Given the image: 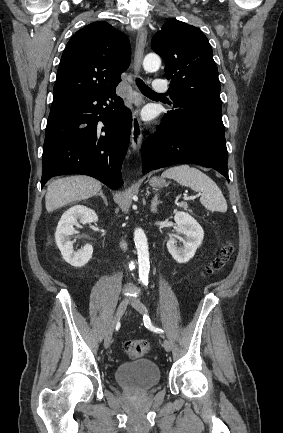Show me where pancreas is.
Listing matches in <instances>:
<instances>
[{
	"instance_id": "cf45deb5",
	"label": "pancreas",
	"mask_w": 283,
	"mask_h": 433,
	"mask_svg": "<svg viewBox=\"0 0 283 433\" xmlns=\"http://www.w3.org/2000/svg\"><path fill=\"white\" fill-rule=\"evenodd\" d=\"M184 210H189V212H192L191 208H188V204H183Z\"/></svg>"
}]
</instances>
